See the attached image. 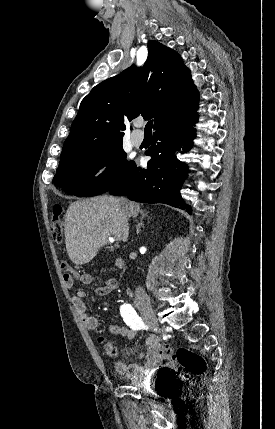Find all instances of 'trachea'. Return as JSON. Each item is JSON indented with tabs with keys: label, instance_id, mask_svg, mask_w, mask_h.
Masks as SVG:
<instances>
[{
	"label": "trachea",
	"instance_id": "trachea-1",
	"mask_svg": "<svg viewBox=\"0 0 275 429\" xmlns=\"http://www.w3.org/2000/svg\"><path fill=\"white\" fill-rule=\"evenodd\" d=\"M152 124H153L152 120L147 122L145 129H144L145 133H152Z\"/></svg>",
	"mask_w": 275,
	"mask_h": 429
}]
</instances>
